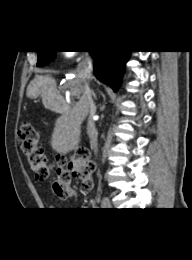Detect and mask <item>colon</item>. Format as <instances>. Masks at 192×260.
I'll return each instance as SVG.
<instances>
[{"instance_id": "5ec220e1", "label": "colon", "mask_w": 192, "mask_h": 260, "mask_svg": "<svg viewBox=\"0 0 192 260\" xmlns=\"http://www.w3.org/2000/svg\"><path fill=\"white\" fill-rule=\"evenodd\" d=\"M17 136L19 147L36 179L42 182L49 180L51 166L40 145L39 133L34 125L28 120H23ZM94 169L95 165L89 158L88 150L79 149L71 158L60 159L55 177L51 181L52 191L59 198H67L72 178L76 179L82 188L90 189L93 185Z\"/></svg>"}]
</instances>
